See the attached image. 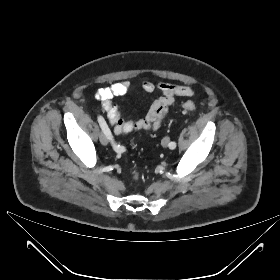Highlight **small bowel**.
Listing matches in <instances>:
<instances>
[{
    "mask_svg": "<svg viewBox=\"0 0 280 280\" xmlns=\"http://www.w3.org/2000/svg\"><path fill=\"white\" fill-rule=\"evenodd\" d=\"M142 88L148 93L158 90L161 96L151 103L145 117L137 120L124 119L121 116L119 106L113 102L114 97L125 96L130 92L131 84L129 81H120L96 92L95 97L101 102L102 108L117 135H125L140 130H158L169 108L174 104L175 98L194 94L193 89L186 85L166 82L154 83L151 80H144Z\"/></svg>",
    "mask_w": 280,
    "mask_h": 280,
    "instance_id": "c3829d8e",
    "label": "small bowel"
}]
</instances>
